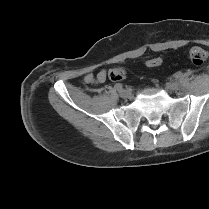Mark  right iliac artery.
<instances>
[{
	"label": "right iliac artery",
	"mask_w": 209,
	"mask_h": 209,
	"mask_svg": "<svg viewBox=\"0 0 209 209\" xmlns=\"http://www.w3.org/2000/svg\"><path fill=\"white\" fill-rule=\"evenodd\" d=\"M122 88H123V86H122V84H120V83H118V84L115 85V89H116L117 91L122 90Z\"/></svg>",
	"instance_id": "right-iliac-artery-1"
}]
</instances>
